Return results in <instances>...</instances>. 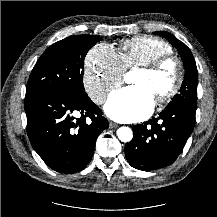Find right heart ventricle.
Wrapping results in <instances>:
<instances>
[{
    "mask_svg": "<svg viewBox=\"0 0 217 217\" xmlns=\"http://www.w3.org/2000/svg\"><path fill=\"white\" fill-rule=\"evenodd\" d=\"M168 54H172L171 46L153 36H138L125 40L120 44L117 53L124 70L149 64Z\"/></svg>",
    "mask_w": 217,
    "mask_h": 217,
    "instance_id": "1",
    "label": "right heart ventricle"
}]
</instances>
